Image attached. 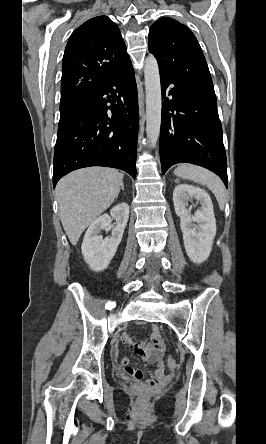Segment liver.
Returning <instances> with one entry per match:
<instances>
[{"mask_svg": "<svg viewBox=\"0 0 266 444\" xmlns=\"http://www.w3.org/2000/svg\"><path fill=\"white\" fill-rule=\"evenodd\" d=\"M122 184V173L103 167L76 170L60 179L56 187L60 218L73 245L118 197Z\"/></svg>", "mask_w": 266, "mask_h": 444, "instance_id": "liver-1", "label": "liver"}]
</instances>
